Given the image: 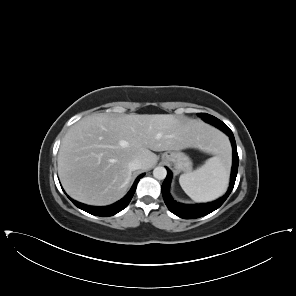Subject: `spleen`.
<instances>
[{
  "mask_svg": "<svg viewBox=\"0 0 296 296\" xmlns=\"http://www.w3.org/2000/svg\"><path fill=\"white\" fill-rule=\"evenodd\" d=\"M214 153L217 155L206 160L201 167L179 178L184 192L196 202L215 200L227 189L231 158L224 139L218 142Z\"/></svg>",
  "mask_w": 296,
  "mask_h": 296,
  "instance_id": "spleen-1",
  "label": "spleen"
}]
</instances>
